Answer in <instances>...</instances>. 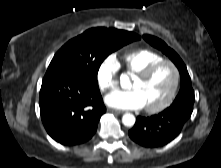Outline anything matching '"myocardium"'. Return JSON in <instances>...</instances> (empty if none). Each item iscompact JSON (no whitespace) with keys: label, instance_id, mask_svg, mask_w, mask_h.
Returning <instances> with one entry per match:
<instances>
[{"label":"myocardium","instance_id":"obj_1","mask_svg":"<svg viewBox=\"0 0 221 168\" xmlns=\"http://www.w3.org/2000/svg\"><path fill=\"white\" fill-rule=\"evenodd\" d=\"M162 65H169L173 69L174 72V82L172 85V88L167 96V98L160 104L152 107H145V110L148 113H158L169 107L172 102L174 101L179 86H180V81H181V74L180 70L175 62L169 59H162L158 62H155L148 67H146L144 70L140 71L139 73L136 74V78L140 80H146L148 79L159 67Z\"/></svg>","mask_w":221,"mask_h":168}]
</instances>
